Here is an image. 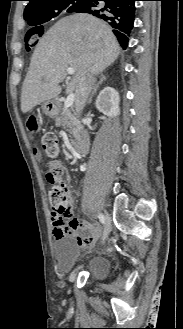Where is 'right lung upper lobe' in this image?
I'll return each mask as SVG.
<instances>
[{
	"instance_id": "1",
	"label": "right lung upper lobe",
	"mask_w": 183,
	"mask_h": 329,
	"mask_svg": "<svg viewBox=\"0 0 183 329\" xmlns=\"http://www.w3.org/2000/svg\"><path fill=\"white\" fill-rule=\"evenodd\" d=\"M24 10V18L45 14L52 5L63 0H28Z\"/></svg>"
}]
</instances>
